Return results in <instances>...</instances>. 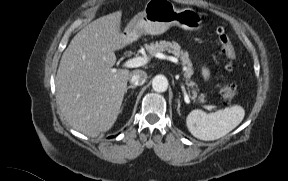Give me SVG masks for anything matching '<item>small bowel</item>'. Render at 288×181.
Returning a JSON list of instances; mask_svg holds the SVG:
<instances>
[{"mask_svg": "<svg viewBox=\"0 0 288 181\" xmlns=\"http://www.w3.org/2000/svg\"><path fill=\"white\" fill-rule=\"evenodd\" d=\"M202 72H203L204 78H206V79L209 78L210 72H209L208 68L204 67Z\"/></svg>", "mask_w": 288, "mask_h": 181, "instance_id": "c3829d8e", "label": "small bowel"}]
</instances>
